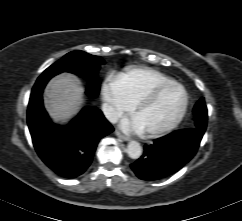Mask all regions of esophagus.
<instances>
[{"label":"esophagus","instance_id":"1","mask_svg":"<svg viewBox=\"0 0 242 221\" xmlns=\"http://www.w3.org/2000/svg\"><path fill=\"white\" fill-rule=\"evenodd\" d=\"M115 134H116V136H118L123 141H130V138L128 136L121 134L119 131H116Z\"/></svg>","mask_w":242,"mask_h":221}]
</instances>
